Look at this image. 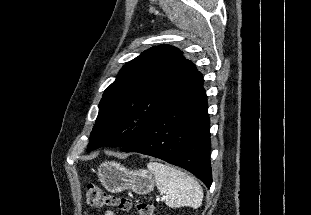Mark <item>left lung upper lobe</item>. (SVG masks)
Wrapping results in <instances>:
<instances>
[{
    "mask_svg": "<svg viewBox=\"0 0 311 215\" xmlns=\"http://www.w3.org/2000/svg\"><path fill=\"white\" fill-rule=\"evenodd\" d=\"M197 71L182 51L170 45L152 47L128 62L104 91L87 151L129 144Z\"/></svg>",
    "mask_w": 311,
    "mask_h": 215,
    "instance_id": "5c2ea615",
    "label": "left lung upper lobe"
}]
</instances>
